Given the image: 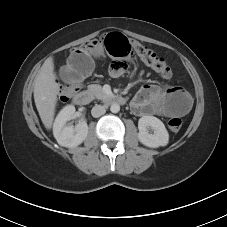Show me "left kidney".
Instances as JSON below:
<instances>
[{
    "instance_id": "1",
    "label": "left kidney",
    "mask_w": 227,
    "mask_h": 227,
    "mask_svg": "<svg viewBox=\"0 0 227 227\" xmlns=\"http://www.w3.org/2000/svg\"><path fill=\"white\" fill-rule=\"evenodd\" d=\"M138 139L150 148L166 146L169 142V134L161 120L154 116H143L138 121ZM154 133H149V130Z\"/></svg>"
}]
</instances>
